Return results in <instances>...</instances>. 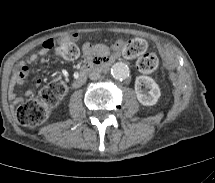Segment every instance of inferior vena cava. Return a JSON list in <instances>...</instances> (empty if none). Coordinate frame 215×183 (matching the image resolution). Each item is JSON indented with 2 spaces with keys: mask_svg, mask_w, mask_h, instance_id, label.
Wrapping results in <instances>:
<instances>
[{
  "mask_svg": "<svg viewBox=\"0 0 215 183\" xmlns=\"http://www.w3.org/2000/svg\"><path fill=\"white\" fill-rule=\"evenodd\" d=\"M89 78H90L91 80H97V79H99V78H100V72L97 71V70L91 71V72L89 73Z\"/></svg>",
  "mask_w": 215,
  "mask_h": 183,
  "instance_id": "602c4592",
  "label": "inferior vena cava"
}]
</instances>
